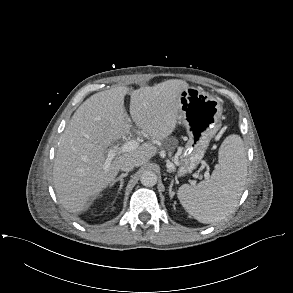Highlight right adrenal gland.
<instances>
[{
	"instance_id": "right-adrenal-gland-1",
	"label": "right adrenal gland",
	"mask_w": 293,
	"mask_h": 293,
	"mask_svg": "<svg viewBox=\"0 0 293 293\" xmlns=\"http://www.w3.org/2000/svg\"><path fill=\"white\" fill-rule=\"evenodd\" d=\"M128 175V173H123L121 174L117 179H115L111 184H110V188L114 186L115 183H117L118 181L120 182L119 188H118V193L121 191L123 184H124V177H126Z\"/></svg>"
}]
</instances>
